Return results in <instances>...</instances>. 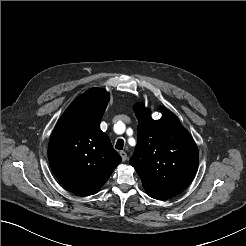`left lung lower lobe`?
I'll return each instance as SVG.
<instances>
[{
  "mask_svg": "<svg viewBox=\"0 0 246 246\" xmlns=\"http://www.w3.org/2000/svg\"><path fill=\"white\" fill-rule=\"evenodd\" d=\"M146 192H147V194H148L150 197L155 198V199H158V200H165V199L171 198L170 196H166V195L157 193V192H155V191H148V190H146Z\"/></svg>",
  "mask_w": 246,
  "mask_h": 246,
  "instance_id": "1",
  "label": "left lung lower lobe"
}]
</instances>
